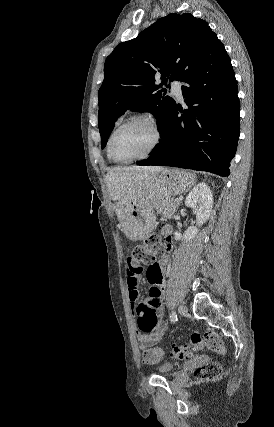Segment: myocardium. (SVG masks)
I'll return each instance as SVG.
<instances>
[{
  "label": "myocardium",
  "instance_id": "obj_1",
  "mask_svg": "<svg viewBox=\"0 0 274 427\" xmlns=\"http://www.w3.org/2000/svg\"><path fill=\"white\" fill-rule=\"evenodd\" d=\"M137 120H143L148 122L151 127L153 128L154 132H155V140L154 143L152 144V146L143 154L133 157L131 159H122L120 157H118L114 151H113V147H112V142H113V138L115 136V134L118 132L119 129H121L122 127H124L125 125L137 121ZM163 141V132L162 129L160 127V125L158 124V122L156 121V119L148 114V113H137L134 114L130 117H128L127 119H125L124 121H122L121 123H119L111 132L109 138H108V142H107V150H108V154L109 156L118 163H122V164H127V163H132L135 161H140V160H144L147 159L148 157H150L162 144Z\"/></svg>",
  "mask_w": 274,
  "mask_h": 427
}]
</instances>
